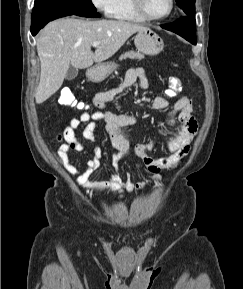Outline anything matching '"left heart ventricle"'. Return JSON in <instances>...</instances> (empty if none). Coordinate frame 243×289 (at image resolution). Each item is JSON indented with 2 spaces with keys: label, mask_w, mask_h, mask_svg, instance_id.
<instances>
[{
  "label": "left heart ventricle",
  "mask_w": 243,
  "mask_h": 289,
  "mask_svg": "<svg viewBox=\"0 0 243 289\" xmlns=\"http://www.w3.org/2000/svg\"><path fill=\"white\" fill-rule=\"evenodd\" d=\"M169 0H145V8L152 16H162L169 10Z\"/></svg>",
  "instance_id": "b2bd125f"
}]
</instances>
